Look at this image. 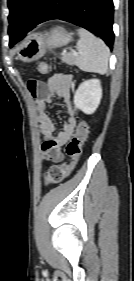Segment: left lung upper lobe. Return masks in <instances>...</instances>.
Instances as JSON below:
<instances>
[{
	"instance_id": "5c2ea615",
	"label": "left lung upper lobe",
	"mask_w": 134,
	"mask_h": 281,
	"mask_svg": "<svg viewBox=\"0 0 134 281\" xmlns=\"http://www.w3.org/2000/svg\"><path fill=\"white\" fill-rule=\"evenodd\" d=\"M47 0H8L10 46L31 28L33 20ZM19 36V37H18Z\"/></svg>"
}]
</instances>
